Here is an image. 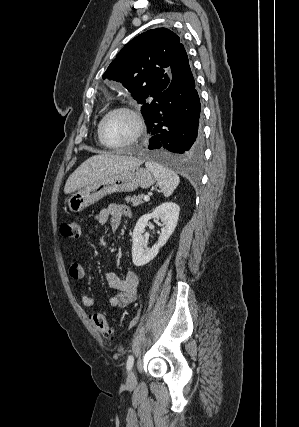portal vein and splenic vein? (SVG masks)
<instances>
[{"label":"portal vein and splenic vein","instance_id":"obj_1","mask_svg":"<svg viewBox=\"0 0 299 427\" xmlns=\"http://www.w3.org/2000/svg\"><path fill=\"white\" fill-rule=\"evenodd\" d=\"M144 200H145V201H149V200H150V197H149L148 195H146V196H144Z\"/></svg>","mask_w":299,"mask_h":427}]
</instances>
